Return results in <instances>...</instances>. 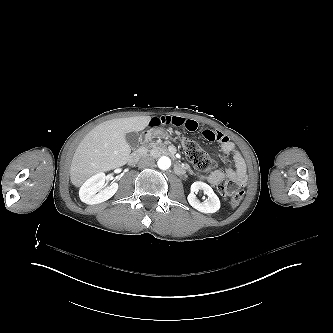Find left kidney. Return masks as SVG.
I'll return each mask as SVG.
<instances>
[{"label":"left kidney","mask_w":333,"mask_h":333,"mask_svg":"<svg viewBox=\"0 0 333 333\" xmlns=\"http://www.w3.org/2000/svg\"><path fill=\"white\" fill-rule=\"evenodd\" d=\"M203 190L208 196V200L200 202L195 195V192ZM189 204L196 210L202 213H215L220 209V200L214 193L213 189L206 183L196 181L191 185V192L187 197Z\"/></svg>","instance_id":"5707ae66"}]
</instances>
